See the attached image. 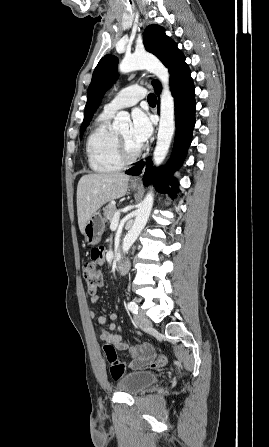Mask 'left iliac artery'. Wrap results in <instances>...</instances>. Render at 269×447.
<instances>
[{"label":"left iliac artery","mask_w":269,"mask_h":447,"mask_svg":"<svg viewBox=\"0 0 269 447\" xmlns=\"http://www.w3.org/2000/svg\"><path fill=\"white\" fill-rule=\"evenodd\" d=\"M127 307L132 313L138 314V305L135 302H129Z\"/></svg>","instance_id":"1"}]
</instances>
